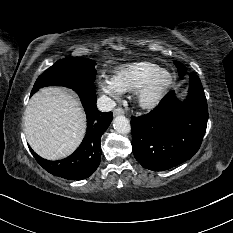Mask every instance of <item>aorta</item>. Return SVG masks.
Returning <instances> with one entry per match:
<instances>
[{
  "mask_svg": "<svg viewBox=\"0 0 233 233\" xmlns=\"http://www.w3.org/2000/svg\"><path fill=\"white\" fill-rule=\"evenodd\" d=\"M113 126L119 134H128L131 130L129 120L123 115H119L114 118Z\"/></svg>",
  "mask_w": 233,
  "mask_h": 233,
  "instance_id": "762f6f07",
  "label": "aorta"
}]
</instances>
